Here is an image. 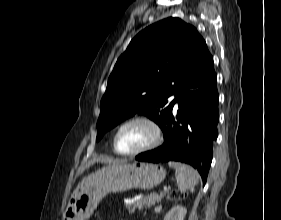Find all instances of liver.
I'll list each match as a JSON object with an SVG mask.
<instances>
[{
    "instance_id": "obj_1",
    "label": "liver",
    "mask_w": 281,
    "mask_h": 220,
    "mask_svg": "<svg viewBox=\"0 0 281 220\" xmlns=\"http://www.w3.org/2000/svg\"><path fill=\"white\" fill-rule=\"evenodd\" d=\"M96 161H102L104 163H107L108 166H112V165H121V164H126V161L124 160H119V159H109V158H94L92 159L87 165L86 167H89L90 165L94 164Z\"/></svg>"
}]
</instances>
